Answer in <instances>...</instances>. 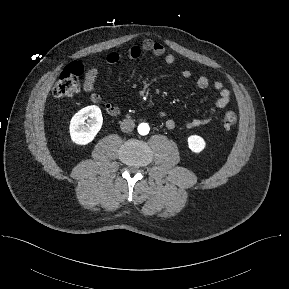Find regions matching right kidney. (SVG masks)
Wrapping results in <instances>:
<instances>
[{"mask_svg":"<svg viewBox=\"0 0 289 289\" xmlns=\"http://www.w3.org/2000/svg\"><path fill=\"white\" fill-rule=\"evenodd\" d=\"M102 123L103 117L98 106L91 105L82 108L70 121L71 140L78 145H87L94 140Z\"/></svg>","mask_w":289,"mask_h":289,"instance_id":"right-kidney-1","label":"right kidney"}]
</instances>
